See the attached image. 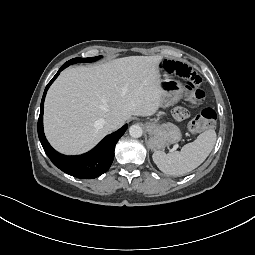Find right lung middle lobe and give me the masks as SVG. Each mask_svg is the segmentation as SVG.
Instances as JSON below:
<instances>
[{
  "label": "right lung middle lobe",
  "mask_w": 255,
  "mask_h": 255,
  "mask_svg": "<svg viewBox=\"0 0 255 255\" xmlns=\"http://www.w3.org/2000/svg\"><path fill=\"white\" fill-rule=\"evenodd\" d=\"M99 58H101V56L90 57V58H74V59L69 60L68 62L71 64L78 63V62H93V61L98 60Z\"/></svg>",
  "instance_id": "dd1d6c3e"
}]
</instances>
